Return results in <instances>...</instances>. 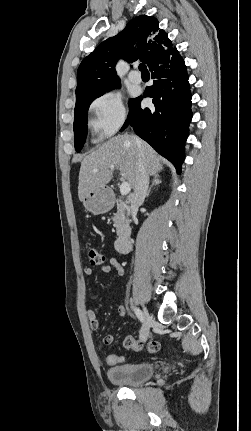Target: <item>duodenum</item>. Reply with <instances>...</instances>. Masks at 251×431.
Wrapping results in <instances>:
<instances>
[{"label":"duodenum","mask_w":251,"mask_h":431,"mask_svg":"<svg viewBox=\"0 0 251 431\" xmlns=\"http://www.w3.org/2000/svg\"><path fill=\"white\" fill-rule=\"evenodd\" d=\"M132 246L133 239L130 230L125 231L115 241V249L122 254L130 252Z\"/></svg>","instance_id":"410a0bca"}]
</instances>
